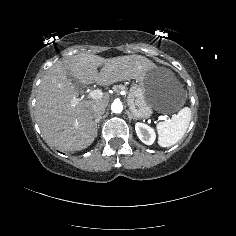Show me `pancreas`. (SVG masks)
Segmentation results:
<instances>
[{
    "mask_svg": "<svg viewBox=\"0 0 236 236\" xmlns=\"http://www.w3.org/2000/svg\"><path fill=\"white\" fill-rule=\"evenodd\" d=\"M113 89L116 93L119 94L121 90L125 89V87L123 85H116V86L113 87Z\"/></svg>",
    "mask_w": 236,
    "mask_h": 236,
    "instance_id": "cf45deb5",
    "label": "pancreas"
}]
</instances>
